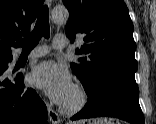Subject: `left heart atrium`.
Returning <instances> with one entry per match:
<instances>
[{
    "label": "left heart atrium",
    "instance_id": "obj_1",
    "mask_svg": "<svg viewBox=\"0 0 156 124\" xmlns=\"http://www.w3.org/2000/svg\"><path fill=\"white\" fill-rule=\"evenodd\" d=\"M30 80L58 104H63L73 88L67 69L51 61L37 65L31 73Z\"/></svg>",
    "mask_w": 156,
    "mask_h": 124
}]
</instances>
